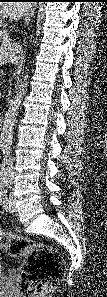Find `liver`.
<instances>
[{
    "mask_svg": "<svg viewBox=\"0 0 107 297\" xmlns=\"http://www.w3.org/2000/svg\"><path fill=\"white\" fill-rule=\"evenodd\" d=\"M0 65L7 63L17 64L21 59L22 48L18 43L10 41L9 38L0 36Z\"/></svg>",
    "mask_w": 107,
    "mask_h": 297,
    "instance_id": "6515ba94",
    "label": "liver"
}]
</instances>
